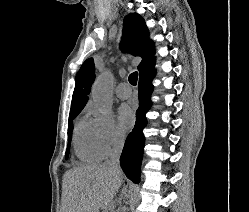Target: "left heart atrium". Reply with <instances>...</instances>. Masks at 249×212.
I'll return each instance as SVG.
<instances>
[{
  "mask_svg": "<svg viewBox=\"0 0 249 212\" xmlns=\"http://www.w3.org/2000/svg\"><path fill=\"white\" fill-rule=\"evenodd\" d=\"M117 121L119 129L125 132L132 128L135 122V117L129 107L122 106L118 109Z\"/></svg>",
  "mask_w": 249,
  "mask_h": 212,
  "instance_id": "1",
  "label": "left heart atrium"
}]
</instances>
